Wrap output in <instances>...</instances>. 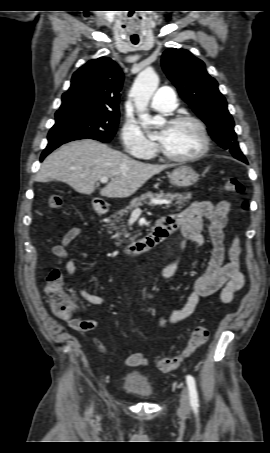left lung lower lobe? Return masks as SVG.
<instances>
[{"mask_svg":"<svg viewBox=\"0 0 270 453\" xmlns=\"http://www.w3.org/2000/svg\"><path fill=\"white\" fill-rule=\"evenodd\" d=\"M243 162L247 163V160L245 159Z\"/></svg>","mask_w":270,"mask_h":453,"instance_id":"left-lung-lower-lobe-1","label":"left lung lower lobe"}]
</instances>
